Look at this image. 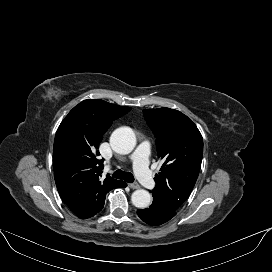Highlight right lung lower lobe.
I'll return each mask as SVG.
<instances>
[{
    "label": "right lung lower lobe",
    "mask_w": 272,
    "mask_h": 272,
    "mask_svg": "<svg viewBox=\"0 0 272 272\" xmlns=\"http://www.w3.org/2000/svg\"><path fill=\"white\" fill-rule=\"evenodd\" d=\"M127 186V184L123 181H118V184H117V188L121 187V188H125Z\"/></svg>",
    "instance_id": "obj_1"
}]
</instances>
